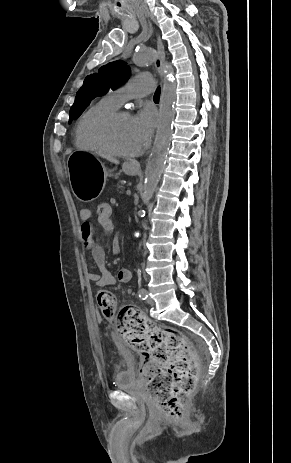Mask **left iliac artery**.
I'll use <instances>...</instances> for the list:
<instances>
[{
    "instance_id": "1",
    "label": "left iliac artery",
    "mask_w": 291,
    "mask_h": 463,
    "mask_svg": "<svg viewBox=\"0 0 291 463\" xmlns=\"http://www.w3.org/2000/svg\"><path fill=\"white\" fill-rule=\"evenodd\" d=\"M138 296L140 299L145 300L148 297L147 290L145 288H141L138 292Z\"/></svg>"
}]
</instances>
